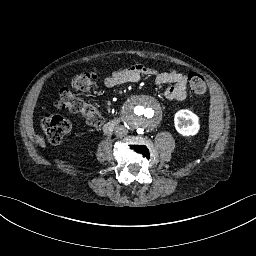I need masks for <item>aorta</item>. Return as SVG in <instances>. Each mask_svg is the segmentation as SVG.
I'll list each match as a JSON object with an SVG mask.
<instances>
[{
    "label": "aorta",
    "instance_id": "aorta-1",
    "mask_svg": "<svg viewBox=\"0 0 256 256\" xmlns=\"http://www.w3.org/2000/svg\"><path fill=\"white\" fill-rule=\"evenodd\" d=\"M125 119L132 129L138 132H149L159 125L162 119V108L155 98L149 95H138L128 102L125 108Z\"/></svg>",
    "mask_w": 256,
    "mask_h": 256
}]
</instances>
